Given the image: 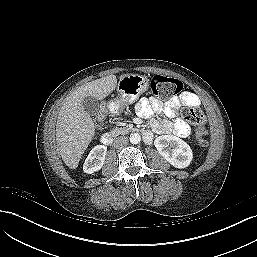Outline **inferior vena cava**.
Listing matches in <instances>:
<instances>
[{
  "label": "inferior vena cava",
  "mask_w": 257,
  "mask_h": 257,
  "mask_svg": "<svg viewBox=\"0 0 257 257\" xmlns=\"http://www.w3.org/2000/svg\"><path fill=\"white\" fill-rule=\"evenodd\" d=\"M128 138L125 137V136H120V137H117L115 140H114V147L116 148H122L126 145H128Z\"/></svg>",
  "instance_id": "602c4592"
}]
</instances>
